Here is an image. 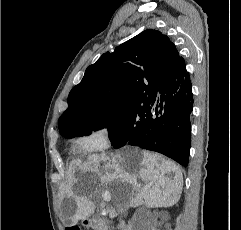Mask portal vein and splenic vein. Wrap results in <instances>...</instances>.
Masks as SVG:
<instances>
[{
	"label": "portal vein and splenic vein",
	"mask_w": 241,
	"mask_h": 230,
	"mask_svg": "<svg viewBox=\"0 0 241 230\" xmlns=\"http://www.w3.org/2000/svg\"><path fill=\"white\" fill-rule=\"evenodd\" d=\"M102 197H103V199L105 201H110L111 200V197H110V195L108 193L103 194Z\"/></svg>",
	"instance_id": "1"
}]
</instances>
